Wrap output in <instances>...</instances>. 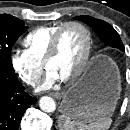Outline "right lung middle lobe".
I'll return each instance as SVG.
<instances>
[{
	"instance_id": "right-lung-middle-lobe-1",
	"label": "right lung middle lobe",
	"mask_w": 130,
	"mask_h": 130,
	"mask_svg": "<svg viewBox=\"0 0 130 130\" xmlns=\"http://www.w3.org/2000/svg\"><path fill=\"white\" fill-rule=\"evenodd\" d=\"M28 27L24 22L8 14H0V66L14 72L11 48Z\"/></svg>"
}]
</instances>
